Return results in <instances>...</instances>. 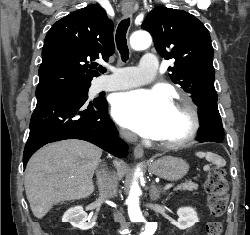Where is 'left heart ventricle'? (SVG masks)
I'll use <instances>...</instances> for the list:
<instances>
[{"label":"left heart ventricle","instance_id":"b2bd125f","mask_svg":"<svg viewBox=\"0 0 250 235\" xmlns=\"http://www.w3.org/2000/svg\"><path fill=\"white\" fill-rule=\"evenodd\" d=\"M189 128V118L187 114L181 110H177L173 107L170 114L167 117L165 126L160 132L159 140H173L183 136Z\"/></svg>","mask_w":250,"mask_h":235}]
</instances>
